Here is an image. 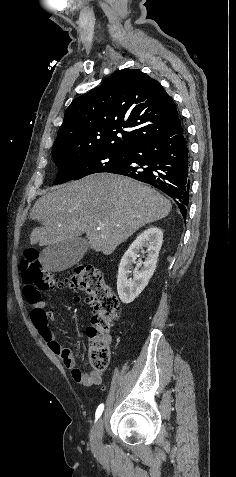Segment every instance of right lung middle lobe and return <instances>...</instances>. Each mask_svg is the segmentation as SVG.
Masks as SVG:
<instances>
[{
    "mask_svg": "<svg viewBox=\"0 0 236 477\" xmlns=\"http://www.w3.org/2000/svg\"><path fill=\"white\" fill-rule=\"evenodd\" d=\"M53 158L59 168L53 184H62L91 174L108 172L124 164L127 154L126 152L87 149L79 153L53 156Z\"/></svg>",
    "mask_w": 236,
    "mask_h": 477,
    "instance_id": "1",
    "label": "right lung middle lobe"
}]
</instances>
